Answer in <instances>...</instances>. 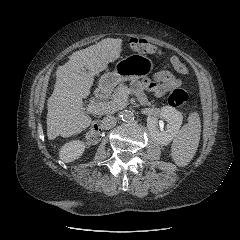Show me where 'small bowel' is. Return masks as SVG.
Wrapping results in <instances>:
<instances>
[{
	"label": "small bowel",
	"instance_id": "small-bowel-1",
	"mask_svg": "<svg viewBox=\"0 0 240 240\" xmlns=\"http://www.w3.org/2000/svg\"><path fill=\"white\" fill-rule=\"evenodd\" d=\"M171 64L178 73L184 75L188 74L187 67L180 61L178 57L172 56ZM154 79L155 82H146L144 87L157 97H161L168 91L178 88L181 85L180 79H178L170 71H160L155 75ZM131 88L140 101L145 103L146 98L143 95V85L140 82H133Z\"/></svg>",
	"mask_w": 240,
	"mask_h": 240
}]
</instances>
